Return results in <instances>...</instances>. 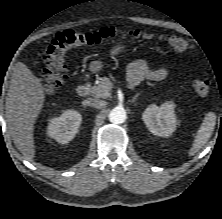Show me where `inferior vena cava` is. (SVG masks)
Segmentation results:
<instances>
[{
	"instance_id": "obj_1",
	"label": "inferior vena cava",
	"mask_w": 222,
	"mask_h": 219,
	"mask_svg": "<svg viewBox=\"0 0 222 219\" xmlns=\"http://www.w3.org/2000/svg\"><path fill=\"white\" fill-rule=\"evenodd\" d=\"M87 104L94 108H102L105 105L104 101L98 99H90Z\"/></svg>"
}]
</instances>
